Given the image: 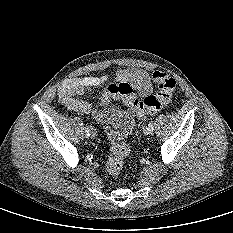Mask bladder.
<instances>
[{
  "instance_id": "1",
  "label": "bladder",
  "mask_w": 233,
  "mask_h": 233,
  "mask_svg": "<svg viewBox=\"0 0 233 233\" xmlns=\"http://www.w3.org/2000/svg\"><path fill=\"white\" fill-rule=\"evenodd\" d=\"M135 127V118L129 111L112 107L105 114L104 133L110 141H124L130 137Z\"/></svg>"
}]
</instances>
